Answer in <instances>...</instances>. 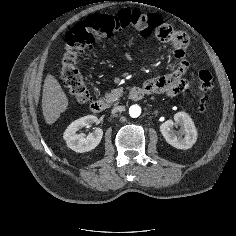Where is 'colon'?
Returning a JSON list of instances; mask_svg holds the SVG:
<instances>
[{
    "label": "colon",
    "mask_w": 236,
    "mask_h": 236,
    "mask_svg": "<svg viewBox=\"0 0 236 236\" xmlns=\"http://www.w3.org/2000/svg\"><path fill=\"white\" fill-rule=\"evenodd\" d=\"M132 27L141 38L155 35L163 42H182L180 32L175 31L157 14L124 9L114 14H95L76 23L65 37V48L61 58V77L64 86L79 103H86L90 93L77 65L79 55L102 38H110L116 32ZM199 100L205 109L208 93L213 89V77L208 70L198 73Z\"/></svg>",
    "instance_id": "colon-1"
}]
</instances>
